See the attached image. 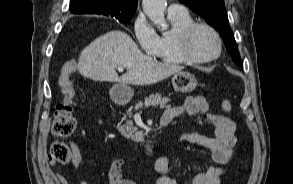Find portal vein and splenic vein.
I'll return each mask as SVG.
<instances>
[{
	"label": "portal vein and splenic vein",
	"instance_id": "1",
	"mask_svg": "<svg viewBox=\"0 0 293 184\" xmlns=\"http://www.w3.org/2000/svg\"><path fill=\"white\" fill-rule=\"evenodd\" d=\"M117 69H118V71H120V72H123V71H124V67H121V66H119Z\"/></svg>",
	"mask_w": 293,
	"mask_h": 184
}]
</instances>
